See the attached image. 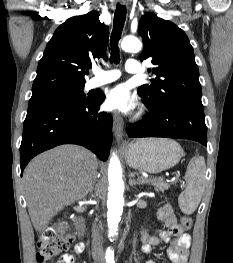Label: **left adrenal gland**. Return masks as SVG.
Listing matches in <instances>:
<instances>
[{
	"instance_id": "1",
	"label": "left adrenal gland",
	"mask_w": 233,
	"mask_h": 263,
	"mask_svg": "<svg viewBox=\"0 0 233 263\" xmlns=\"http://www.w3.org/2000/svg\"><path fill=\"white\" fill-rule=\"evenodd\" d=\"M137 184H143V181L134 180V179L131 178V175H129V185L130 186H135Z\"/></svg>"
}]
</instances>
